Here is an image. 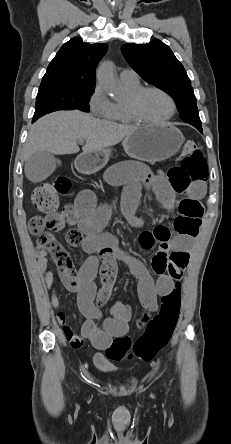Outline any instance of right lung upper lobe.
Wrapping results in <instances>:
<instances>
[{"mask_svg":"<svg viewBox=\"0 0 231 444\" xmlns=\"http://www.w3.org/2000/svg\"><path fill=\"white\" fill-rule=\"evenodd\" d=\"M107 48L106 44H89L78 37L72 38L49 64L40 88H94L96 66Z\"/></svg>","mask_w":231,"mask_h":444,"instance_id":"cb5924a9","label":"right lung upper lobe"}]
</instances>
